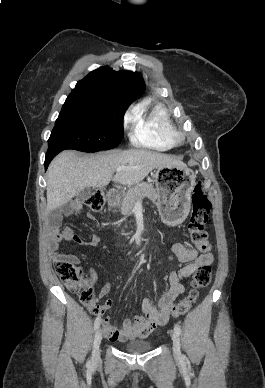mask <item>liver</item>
<instances>
[{"label":"liver","mask_w":265,"mask_h":388,"mask_svg":"<svg viewBox=\"0 0 265 388\" xmlns=\"http://www.w3.org/2000/svg\"><path fill=\"white\" fill-rule=\"evenodd\" d=\"M119 166H134L135 170H122L113 176ZM186 164L150 150L105 152L93 158H77L76 152L66 150L52 160L47 180V212L70 202L83 188H104L111 180L115 184L135 186L154 168H185Z\"/></svg>","instance_id":"liver-1"}]
</instances>
